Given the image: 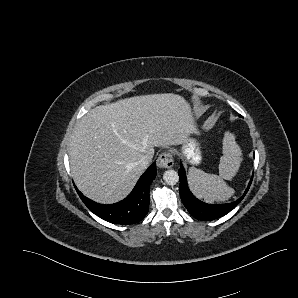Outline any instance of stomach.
Listing matches in <instances>:
<instances>
[{
    "instance_id": "obj_1",
    "label": "stomach",
    "mask_w": 298,
    "mask_h": 298,
    "mask_svg": "<svg viewBox=\"0 0 298 298\" xmlns=\"http://www.w3.org/2000/svg\"><path fill=\"white\" fill-rule=\"evenodd\" d=\"M180 154L186 163L193 166L200 165L203 159L201 141L190 135L188 141L181 146Z\"/></svg>"
}]
</instances>
